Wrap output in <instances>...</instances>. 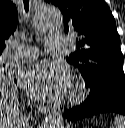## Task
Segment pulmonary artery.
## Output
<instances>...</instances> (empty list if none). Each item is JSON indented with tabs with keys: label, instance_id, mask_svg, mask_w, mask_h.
I'll return each instance as SVG.
<instances>
[{
	"label": "pulmonary artery",
	"instance_id": "obj_1",
	"mask_svg": "<svg viewBox=\"0 0 125 128\" xmlns=\"http://www.w3.org/2000/svg\"><path fill=\"white\" fill-rule=\"evenodd\" d=\"M65 36L61 34H51L47 38L46 47L49 50H60L64 47ZM38 49L12 43L10 45V54L7 60L11 63H25L33 61L38 57Z\"/></svg>",
	"mask_w": 125,
	"mask_h": 128
}]
</instances>
